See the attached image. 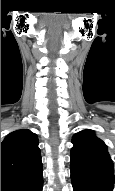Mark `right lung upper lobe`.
I'll return each instance as SVG.
<instances>
[{"label":"right lung upper lobe","mask_w":115,"mask_h":191,"mask_svg":"<svg viewBox=\"0 0 115 191\" xmlns=\"http://www.w3.org/2000/svg\"><path fill=\"white\" fill-rule=\"evenodd\" d=\"M38 138L21 129L6 136L1 143V177L27 175L42 168Z\"/></svg>","instance_id":"cb5924a9"}]
</instances>
